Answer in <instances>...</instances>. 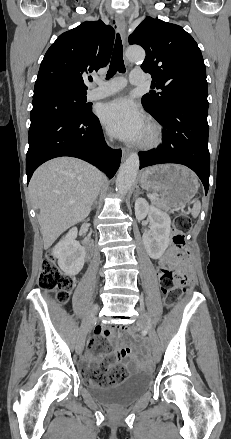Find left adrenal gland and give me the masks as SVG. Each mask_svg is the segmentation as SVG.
<instances>
[{
    "mask_svg": "<svg viewBox=\"0 0 231 439\" xmlns=\"http://www.w3.org/2000/svg\"><path fill=\"white\" fill-rule=\"evenodd\" d=\"M137 193H140V190H139V189L136 190V194H137Z\"/></svg>",
    "mask_w": 231,
    "mask_h": 439,
    "instance_id": "1",
    "label": "left adrenal gland"
}]
</instances>
